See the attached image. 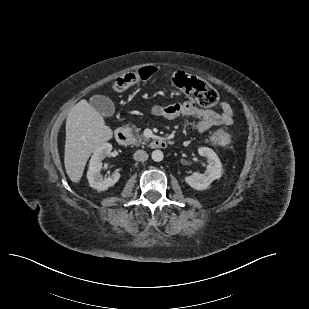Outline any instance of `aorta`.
<instances>
[{"label": "aorta", "mask_w": 309, "mask_h": 309, "mask_svg": "<svg viewBox=\"0 0 309 309\" xmlns=\"http://www.w3.org/2000/svg\"><path fill=\"white\" fill-rule=\"evenodd\" d=\"M152 160L155 162H160L163 160V152L161 150H154L151 154Z\"/></svg>", "instance_id": "obj_1"}]
</instances>
